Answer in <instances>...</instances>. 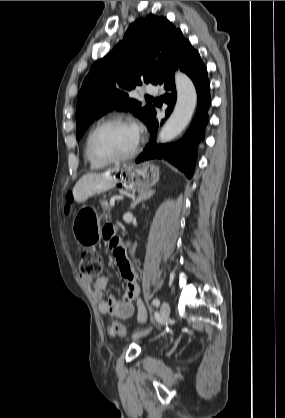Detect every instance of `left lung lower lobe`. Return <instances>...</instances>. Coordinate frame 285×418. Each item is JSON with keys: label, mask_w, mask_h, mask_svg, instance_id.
Returning a JSON list of instances; mask_svg holds the SVG:
<instances>
[{"label": "left lung lower lobe", "mask_w": 285, "mask_h": 418, "mask_svg": "<svg viewBox=\"0 0 285 418\" xmlns=\"http://www.w3.org/2000/svg\"><path fill=\"white\" fill-rule=\"evenodd\" d=\"M178 68L192 79L196 87L198 96L196 115L189 130L180 141L173 144L157 145L156 133L159 124L156 120L155 111L148 125L151 133L150 143L136 159V162L164 159L184 172L188 178H191L197 156L196 148L198 142L204 138V128L208 122L207 111L211 99L207 69L201 61L199 53L193 49L191 43L185 38L177 43L171 59L163 70L158 82L166 90L165 94L161 97L162 102L168 104V108L165 111L166 118L171 114L177 97L174 83V70ZM163 122L164 120L161 121V124Z\"/></svg>", "instance_id": "1"}]
</instances>
